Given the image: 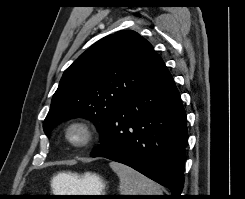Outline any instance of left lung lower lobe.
<instances>
[{
    "instance_id": "left-lung-lower-lobe-1",
    "label": "left lung lower lobe",
    "mask_w": 245,
    "mask_h": 199,
    "mask_svg": "<svg viewBox=\"0 0 245 199\" xmlns=\"http://www.w3.org/2000/svg\"><path fill=\"white\" fill-rule=\"evenodd\" d=\"M186 113L164 62L147 83L118 106L92 157L132 167L166 186L178 199L184 183Z\"/></svg>"
}]
</instances>
